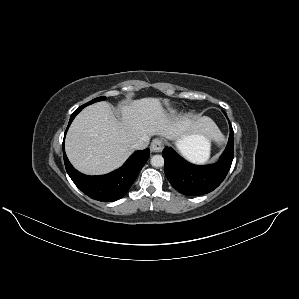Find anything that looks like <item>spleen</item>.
I'll list each match as a JSON object with an SVG mask.
<instances>
[{
  "instance_id": "obj_1",
  "label": "spleen",
  "mask_w": 299,
  "mask_h": 299,
  "mask_svg": "<svg viewBox=\"0 0 299 299\" xmlns=\"http://www.w3.org/2000/svg\"><path fill=\"white\" fill-rule=\"evenodd\" d=\"M206 123L210 128H214L216 125L215 123L210 119H205ZM209 152H210V143L204 150L199 151L196 155H186L189 159H191L194 162L203 163L208 160L209 158Z\"/></svg>"
}]
</instances>
